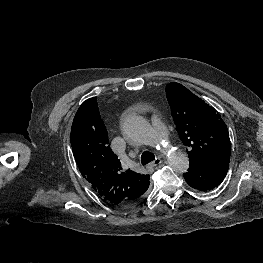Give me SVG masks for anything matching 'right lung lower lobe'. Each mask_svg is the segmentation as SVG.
<instances>
[{
    "label": "right lung lower lobe",
    "mask_w": 263,
    "mask_h": 263,
    "mask_svg": "<svg viewBox=\"0 0 263 263\" xmlns=\"http://www.w3.org/2000/svg\"><path fill=\"white\" fill-rule=\"evenodd\" d=\"M147 189H144L143 191H141L139 193V195L137 197H135L133 200L127 202L126 204L121 205L120 207H131V206H133L134 204H136L138 201H140L142 199L143 194L146 192Z\"/></svg>",
    "instance_id": "1"
}]
</instances>
